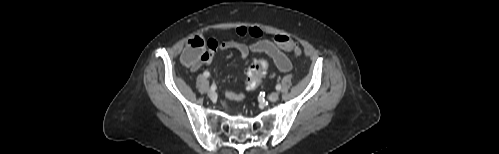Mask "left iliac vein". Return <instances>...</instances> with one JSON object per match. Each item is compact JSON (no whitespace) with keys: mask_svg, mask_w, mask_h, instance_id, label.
Wrapping results in <instances>:
<instances>
[{"mask_svg":"<svg viewBox=\"0 0 499 154\" xmlns=\"http://www.w3.org/2000/svg\"><path fill=\"white\" fill-rule=\"evenodd\" d=\"M279 98V93L278 92H273L269 95L268 99L271 101V102H275L277 101Z\"/></svg>","mask_w":499,"mask_h":154,"instance_id":"4c4485c4","label":"left iliac vein"}]
</instances>
